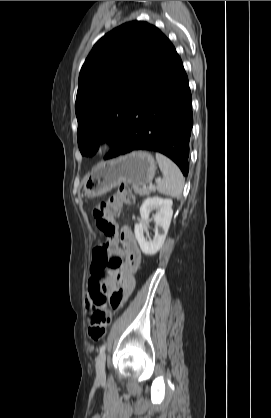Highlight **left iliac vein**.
<instances>
[{
  "instance_id": "left-iliac-vein-1",
  "label": "left iliac vein",
  "mask_w": 271,
  "mask_h": 418,
  "mask_svg": "<svg viewBox=\"0 0 271 418\" xmlns=\"http://www.w3.org/2000/svg\"><path fill=\"white\" fill-rule=\"evenodd\" d=\"M105 362H106V354L103 352L99 355L96 361V375L98 380L105 379Z\"/></svg>"
}]
</instances>
